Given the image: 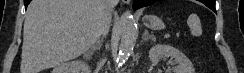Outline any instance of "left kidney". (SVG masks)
<instances>
[{"label": "left kidney", "mask_w": 244, "mask_h": 73, "mask_svg": "<svg viewBox=\"0 0 244 73\" xmlns=\"http://www.w3.org/2000/svg\"><path fill=\"white\" fill-rule=\"evenodd\" d=\"M168 57L174 58L177 66L173 68V73H195L192 62L180 50L170 45H155L149 51V59L152 63H158L160 59Z\"/></svg>", "instance_id": "1"}]
</instances>
